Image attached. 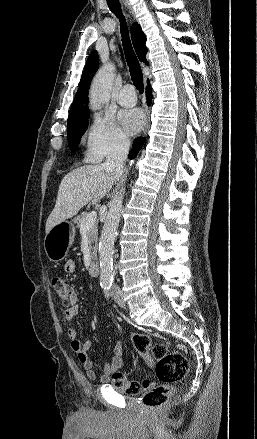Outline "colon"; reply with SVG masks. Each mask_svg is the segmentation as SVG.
Returning <instances> with one entry per match:
<instances>
[{"mask_svg":"<svg viewBox=\"0 0 257 439\" xmlns=\"http://www.w3.org/2000/svg\"><path fill=\"white\" fill-rule=\"evenodd\" d=\"M52 286L56 294L67 306L70 305L73 291L62 276L52 278ZM132 342L138 354L155 369L160 384L146 382L143 385L131 380L123 374L113 378L115 387L128 394H136L142 388L147 389L143 403L148 408H157L166 404L174 393L173 384L182 380L189 369L185 355L178 350H169L163 344H153L149 335L136 332Z\"/></svg>","mask_w":257,"mask_h":439,"instance_id":"1","label":"colon"}]
</instances>
